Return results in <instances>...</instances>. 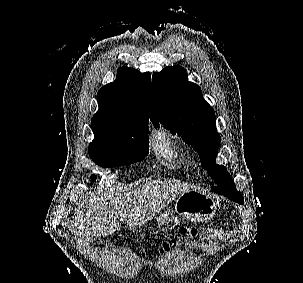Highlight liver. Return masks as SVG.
Here are the masks:
<instances>
[{
  "mask_svg": "<svg viewBox=\"0 0 303 283\" xmlns=\"http://www.w3.org/2000/svg\"><path fill=\"white\" fill-rule=\"evenodd\" d=\"M189 188L177 181L153 180L128 193L98 188L78 207L74 225L82 237L93 242L118 229L147 223Z\"/></svg>",
  "mask_w": 303,
  "mask_h": 283,
  "instance_id": "6515ba94",
  "label": "liver"
}]
</instances>
